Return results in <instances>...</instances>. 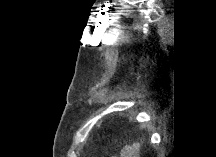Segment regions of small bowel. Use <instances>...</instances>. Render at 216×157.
Returning a JSON list of instances; mask_svg holds the SVG:
<instances>
[{"label":"small bowel","instance_id":"1","mask_svg":"<svg viewBox=\"0 0 216 157\" xmlns=\"http://www.w3.org/2000/svg\"><path fill=\"white\" fill-rule=\"evenodd\" d=\"M140 146L138 143L127 145L122 148L120 157H138Z\"/></svg>","mask_w":216,"mask_h":157}]
</instances>
